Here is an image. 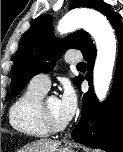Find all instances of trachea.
<instances>
[{
	"label": "trachea",
	"mask_w": 123,
	"mask_h": 152,
	"mask_svg": "<svg viewBox=\"0 0 123 152\" xmlns=\"http://www.w3.org/2000/svg\"><path fill=\"white\" fill-rule=\"evenodd\" d=\"M77 68L84 69V68H86V64L84 62H80V63H78Z\"/></svg>",
	"instance_id": "trachea-1"
}]
</instances>
